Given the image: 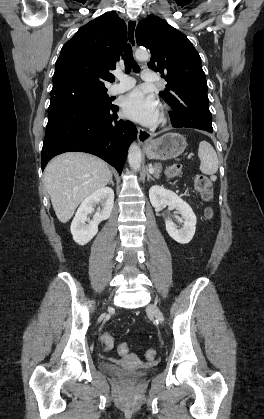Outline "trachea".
<instances>
[{
  "mask_svg": "<svg viewBox=\"0 0 264 419\" xmlns=\"http://www.w3.org/2000/svg\"><path fill=\"white\" fill-rule=\"evenodd\" d=\"M124 64H125V72L127 74L130 73L131 69H133L136 73L140 72V67L138 66V64L135 62L133 58L132 48L129 44L126 46V49L124 52Z\"/></svg>",
  "mask_w": 264,
  "mask_h": 419,
  "instance_id": "1",
  "label": "trachea"
}]
</instances>
